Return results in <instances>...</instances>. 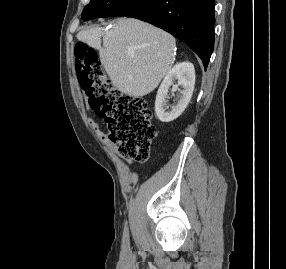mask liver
Wrapping results in <instances>:
<instances>
[{
    "label": "liver",
    "mask_w": 286,
    "mask_h": 269,
    "mask_svg": "<svg viewBox=\"0 0 286 269\" xmlns=\"http://www.w3.org/2000/svg\"><path fill=\"white\" fill-rule=\"evenodd\" d=\"M77 39L99 50L113 85L132 97L145 96L159 85L171 69L176 46L169 33L133 18L117 19L108 31L82 30Z\"/></svg>",
    "instance_id": "6515ba94"
}]
</instances>
